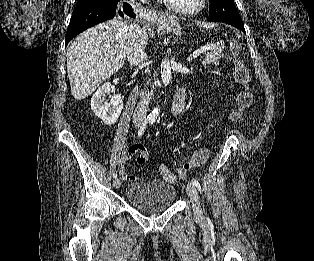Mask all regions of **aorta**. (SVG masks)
Returning a JSON list of instances; mask_svg holds the SVG:
<instances>
[{
	"label": "aorta",
	"mask_w": 314,
	"mask_h": 261,
	"mask_svg": "<svg viewBox=\"0 0 314 261\" xmlns=\"http://www.w3.org/2000/svg\"><path fill=\"white\" fill-rule=\"evenodd\" d=\"M161 79L164 85H168L171 79V64L169 59H163L161 64ZM159 109H155L152 112L153 117H157Z\"/></svg>",
	"instance_id": "obj_1"
}]
</instances>
